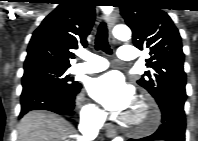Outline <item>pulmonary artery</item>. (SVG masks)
Masks as SVG:
<instances>
[{"label": "pulmonary artery", "mask_w": 198, "mask_h": 141, "mask_svg": "<svg viewBox=\"0 0 198 141\" xmlns=\"http://www.w3.org/2000/svg\"><path fill=\"white\" fill-rule=\"evenodd\" d=\"M80 57L86 62L74 65L70 70L74 74L96 73L105 70L109 66L105 58L92 53H81ZM118 57L126 62L134 61L136 48L130 45L122 46L118 51Z\"/></svg>", "instance_id": "1"}]
</instances>
